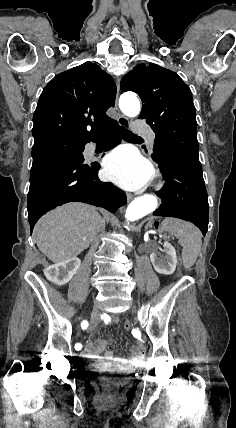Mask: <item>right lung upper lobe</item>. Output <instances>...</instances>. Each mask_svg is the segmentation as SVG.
<instances>
[{"label":"right lung upper lobe","mask_w":236,"mask_h":428,"mask_svg":"<svg viewBox=\"0 0 236 428\" xmlns=\"http://www.w3.org/2000/svg\"><path fill=\"white\" fill-rule=\"evenodd\" d=\"M115 96L113 78L92 62L58 74L40 95L33 116L34 145L58 139L83 141L96 135L116 122L105 114L114 106Z\"/></svg>","instance_id":"right-lung-upper-lobe-1"}]
</instances>
